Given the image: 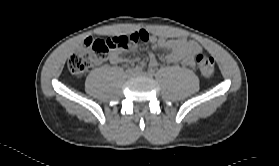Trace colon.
Returning <instances> with one entry per match:
<instances>
[{"instance_id": "1", "label": "colon", "mask_w": 279, "mask_h": 166, "mask_svg": "<svg viewBox=\"0 0 279 166\" xmlns=\"http://www.w3.org/2000/svg\"><path fill=\"white\" fill-rule=\"evenodd\" d=\"M136 39L130 36L112 38H87L82 47L68 60V68L71 73L81 75L90 67L106 61L109 53L114 49L127 48ZM197 68L204 76H210L215 69L213 57L205 53L197 54L195 58Z\"/></svg>"}]
</instances>
